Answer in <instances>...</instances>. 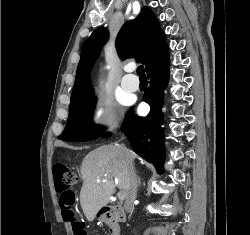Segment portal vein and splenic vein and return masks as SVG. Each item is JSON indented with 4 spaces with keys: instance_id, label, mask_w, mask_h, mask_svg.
I'll return each mask as SVG.
<instances>
[{
    "instance_id": "18ae733b",
    "label": "portal vein and splenic vein",
    "mask_w": 250,
    "mask_h": 235,
    "mask_svg": "<svg viewBox=\"0 0 250 235\" xmlns=\"http://www.w3.org/2000/svg\"><path fill=\"white\" fill-rule=\"evenodd\" d=\"M118 195H119L120 200H124V198L126 196V192L125 191H120Z\"/></svg>"
}]
</instances>
